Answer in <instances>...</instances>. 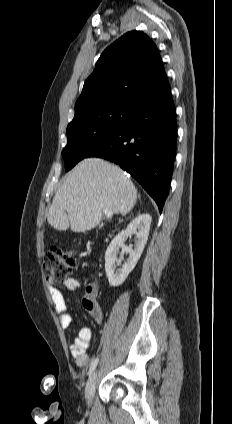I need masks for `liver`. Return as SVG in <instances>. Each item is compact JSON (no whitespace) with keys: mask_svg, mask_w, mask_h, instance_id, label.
Returning a JSON list of instances; mask_svg holds the SVG:
<instances>
[{"mask_svg":"<svg viewBox=\"0 0 232 424\" xmlns=\"http://www.w3.org/2000/svg\"><path fill=\"white\" fill-rule=\"evenodd\" d=\"M137 200V190L123 170L100 158H86L63 179L47 215L59 231L95 228L104 209L128 214Z\"/></svg>","mask_w":232,"mask_h":424,"instance_id":"obj_1","label":"liver"}]
</instances>
